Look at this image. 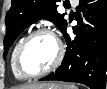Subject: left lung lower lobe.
I'll use <instances>...</instances> for the list:
<instances>
[{"instance_id": "0a47b994", "label": "left lung lower lobe", "mask_w": 107, "mask_h": 89, "mask_svg": "<svg viewBox=\"0 0 107 89\" xmlns=\"http://www.w3.org/2000/svg\"><path fill=\"white\" fill-rule=\"evenodd\" d=\"M84 21L74 28L76 36L66 38L67 48L60 67L40 80L82 83L91 89H105L107 69V0H87ZM83 7V1L80 3Z\"/></svg>"}]
</instances>
